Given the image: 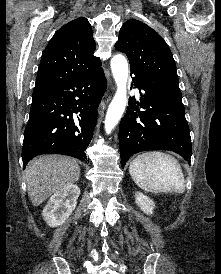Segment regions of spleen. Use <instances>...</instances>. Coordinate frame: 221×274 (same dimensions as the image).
Here are the masks:
<instances>
[{
  "label": "spleen",
  "instance_id": "3e777b00",
  "mask_svg": "<svg viewBox=\"0 0 221 274\" xmlns=\"http://www.w3.org/2000/svg\"><path fill=\"white\" fill-rule=\"evenodd\" d=\"M131 178L147 192L185 191V180L180 164L172 156L158 151L138 155L129 166Z\"/></svg>",
  "mask_w": 221,
  "mask_h": 274
}]
</instances>
